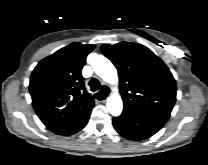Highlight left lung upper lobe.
<instances>
[{
  "instance_id": "left-lung-upper-lobe-1",
  "label": "left lung upper lobe",
  "mask_w": 208,
  "mask_h": 165,
  "mask_svg": "<svg viewBox=\"0 0 208 165\" xmlns=\"http://www.w3.org/2000/svg\"><path fill=\"white\" fill-rule=\"evenodd\" d=\"M101 49L117 68L123 111L168 120L176 84L164 62L138 43L104 44Z\"/></svg>"
}]
</instances>
